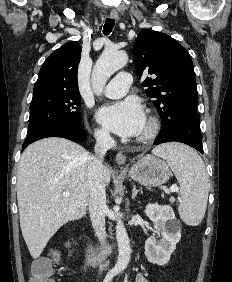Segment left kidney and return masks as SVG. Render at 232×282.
<instances>
[{
  "mask_svg": "<svg viewBox=\"0 0 232 282\" xmlns=\"http://www.w3.org/2000/svg\"><path fill=\"white\" fill-rule=\"evenodd\" d=\"M145 214L154 224V233L162 239L157 240L155 234L145 242V255L149 262L165 265L181 239V226L176 220L173 209L168 205L148 204Z\"/></svg>",
  "mask_w": 232,
  "mask_h": 282,
  "instance_id": "left-kidney-1",
  "label": "left kidney"
}]
</instances>
